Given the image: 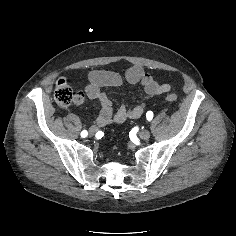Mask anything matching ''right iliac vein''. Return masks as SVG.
I'll list each match as a JSON object with an SVG mask.
<instances>
[{"label":"right iliac vein","mask_w":236,"mask_h":236,"mask_svg":"<svg viewBox=\"0 0 236 236\" xmlns=\"http://www.w3.org/2000/svg\"><path fill=\"white\" fill-rule=\"evenodd\" d=\"M96 132H97V127L95 126L90 127L89 136H94Z\"/></svg>","instance_id":"right-iliac-vein-1"}]
</instances>
